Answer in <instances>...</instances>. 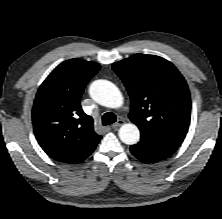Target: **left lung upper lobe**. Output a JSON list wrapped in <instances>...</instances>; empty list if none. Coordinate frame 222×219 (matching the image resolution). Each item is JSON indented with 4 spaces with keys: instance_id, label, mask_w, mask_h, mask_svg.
Masks as SVG:
<instances>
[{
    "instance_id": "5c2ea615",
    "label": "left lung upper lobe",
    "mask_w": 222,
    "mask_h": 219,
    "mask_svg": "<svg viewBox=\"0 0 222 219\" xmlns=\"http://www.w3.org/2000/svg\"><path fill=\"white\" fill-rule=\"evenodd\" d=\"M131 98L130 120L142 136L179 147L190 123L187 83L166 59L135 54L112 65Z\"/></svg>"
}]
</instances>
